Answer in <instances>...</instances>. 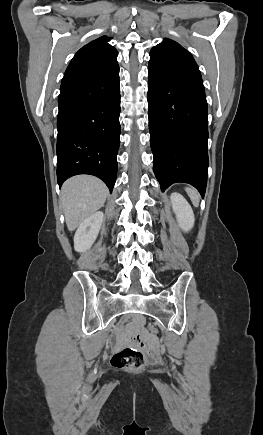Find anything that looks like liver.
<instances>
[{
    "label": "liver",
    "instance_id": "liver-1",
    "mask_svg": "<svg viewBox=\"0 0 263 435\" xmlns=\"http://www.w3.org/2000/svg\"><path fill=\"white\" fill-rule=\"evenodd\" d=\"M107 195L106 185L94 176L79 175L65 181L61 189V202L68 230H75L99 210Z\"/></svg>",
    "mask_w": 263,
    "mask_h": 435
}]
</instances>
